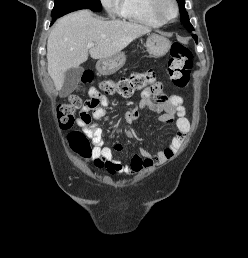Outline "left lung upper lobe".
I'll return each mask as SVG.
<instances>
[{"label":"left lung upper lobe","instance_id":"1","mask_svg":"<svg viewBox=\"0 0 248 258\" xmlns=\"http://www.w3.org/2000/svg\"><path fill=\"white\" fill-rule=\"evenodd\" d=\"M177 2L179 3V8H180V14H181V22L183 23V25L185 26V28L191 32L194 30L193 26L191 25V23L189 22V18H188V14L185 10V1L184 0H177Z\"/></svg>","mask_w":248,"mask_h":258}]
</instances>
